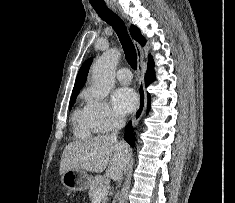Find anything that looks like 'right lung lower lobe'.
I'll use <instances>...</instances> for the list:
<instances>
[{"label": "right lung lower lobe", "mask_w": 235, "mask_h": 203, "mask_svg": "<svg viewBox=\"0 0 235 203\" xmlns=\"http://www.w3.org/2000/svg\"><path fill=\"white\" fill-rule=\"evenodd\" d=\"M154 68V62L152 59L148 62V69L145 75V85L148 86L152 81L155 79V73L153 71ZM150 107V95L148 94V109ZM124 139L132 146L134 147L135 143V137L132 134V129H131V122L128 123V125L125 128V135Z\"/></svg>", "instance_id": "98d812e1"}]
</instances>
